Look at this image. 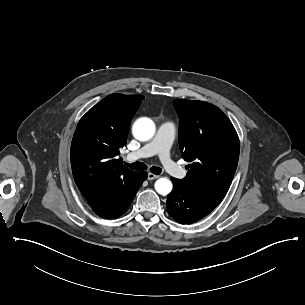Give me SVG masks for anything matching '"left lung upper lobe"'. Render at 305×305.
I'll return each instance as SVG.
<instances>
[{
	"label": "left lung upper lobe",
	"instance_id": "left-lung-upper-lobe-1",
	"mask_svg": "<svg viewBox=\"0 0 305 305\" xmlns=\"http://www.w3.org/2000/svg\"><path fill=\"white\" fill-rule=\"evenodd\" d=\"M182 158L191 163L185 185L196 192L224 198L239 158V138L227 116L216 106L177 99Z\"/></svg>",
	"mask_w": 305,
	"mask_h": 305
}]
</instances>
